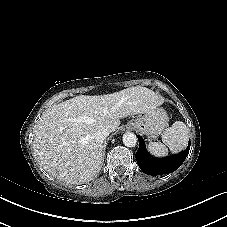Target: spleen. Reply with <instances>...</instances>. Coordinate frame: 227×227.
<instances>
[{
  "mask_svg": "<svg viewBox=\"0 0 227 227\" xmlns=\"http://www.w3.org/2000/svg\"><path fill=\"white\" fill-rule=\"evenodd\" d=\"M189 140V129L185 123L176 121L162 134V142H149V152L157 157H164L168 154V148L171 152L177 153L183 150Z\"/></svg>",
  "mask_w": 227,
  "mask_h": 227,
  "instance_id": "spleen-1",
  "label": "spleen"
}]
</instances>
